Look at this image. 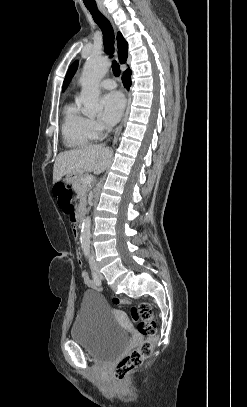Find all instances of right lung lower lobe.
Wrapping results in <instances>:
<instances>
[{
  "label": "right lung lower lobe",
  "mask_w": 247,
  "mask_h": 407,
  "mask_svg": "<svg viewBox=\"0 0 247 407\" xmlns=\"http://www.w3.org/2000/svg\"><path fill=\"white\" fill-rule=\"evenodd\" d=\"M122 81H123L124 86H125L127 89H129V87H130V85H131V71H130V69L126 70V71L123 73Z\"/></svg>",
  "instance_id": "98d812e1"
}]
</instances>
